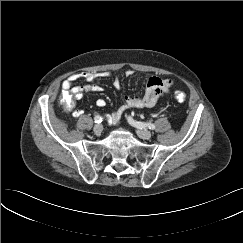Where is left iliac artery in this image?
<instances>
[{
	"instance_id": "left-iliac-artery-1",
	"label": "left iliac artery",
	"mask_w": 243,
	"mask_h": 243,
	"mask_svg": "<svg viewBox=\"0 0 243 243\" xmlns=\"http://www.w3.org/2000/svg\"><path fill=\"white\" fill-rule=\"evenodd\" d=\"M129 122L135 125L139 129L149 128L150 130H154L155 126L152 123H145V122H136L131 117H129Z\"/></svg>"
}]
</instances>
